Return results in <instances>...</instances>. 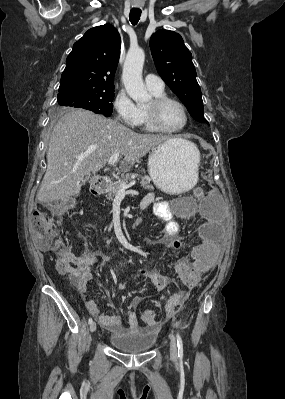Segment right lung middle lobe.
I'll use <instances>...</instances> for the list:
<instances>
[{
    "label": "right lung middle lobe",
    "mask_w": 285,
    "mask_h": 399,
    "mask_svg": "<svg viewBox=\"0 0 285 399\" xmlns=\"http://www.w3.org/2000/svg\"><path fill=\"white\" fill-rule=\"evenodd\" d=\"M113 99L114 89L75 90L57 96L60 106L83 108L106 117L112 113Z\"/></svg>",
    "instance_id": "right-lung-middle-lobe-1"
}]
</instances>
